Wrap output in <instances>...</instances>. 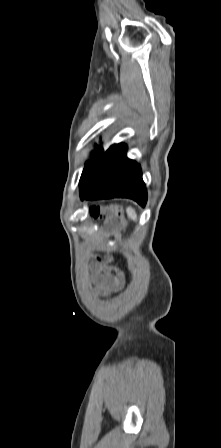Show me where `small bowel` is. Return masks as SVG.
<instances>
[{
    "label": "small bowel",
    "mask_w": 221,
    "mask_h": 448,
    "mask_svg": "<svg viewBox=\"0 0 221 448\" xmlns=\"http://www.w3.org/2000/svg\"><path fill=\"white\" fill-rule=\"evenodd\" d=\"M96 282L105 292H115L121 289L124 283L123 273L110 266L99 267L96 272Z\"/></svg>",
    "instance_id": "small-bowel-1"
}]
</instances>
